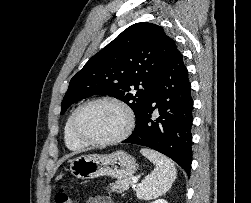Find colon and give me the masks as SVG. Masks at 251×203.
<instances>
[{
    "label": "colon",
    "mask_w": 251,
    "mask_h": 203,
    "mask_svg": "<svg viewBox=\"0 0 251 203\" xmlns=\"http://www.w3.org/2000/svg\"><path fill=\"white\" fill-rule=\"evenodd\" d=\"M55 203H74L70 195L64 190L60 189L55 195Z\"/></svg>",
    "instance_id": "1"
}]
</instances>
